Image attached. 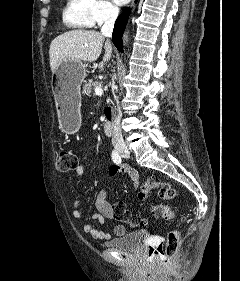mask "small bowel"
Wrapping results in <instances>:
<instances>
[{
	"label": "small bowel",
	"mask_w": 240,
	"mask_h": 281,
	"mask_svg": "<svg viewBox=\"0 0 240 281\" xmlns=\"http://www.w3.org/2000/svg\"><path fill=\"white\" fill-rule=\"evenodd\" d=\"M75 172L77 176H83L85 173V166L83 164H78L75 168ZM121 173H126L131 179L134 186L137 187L139 185V175L135 169L127 165L119 166L116 164L112 165L109 169V175L111 176H116ZM95 206L98 213L92 216V219L98 220L100 224H103L106 220L117 221V219L113 217L112 204L108 201L106 190H101L98 193L95 201ZM72 216L77 220H81L83 218V213L80 208V201L78 197H75L73 202ZM83 230L94 239H105L108 237V234L103 230L89 223H85L83 225ZM113 232L117 236H122L126 233V228L123 224L116 223L113 228Z\"/></svg>",
	"instance_id": "c3829d8e"
}]
</instances>
